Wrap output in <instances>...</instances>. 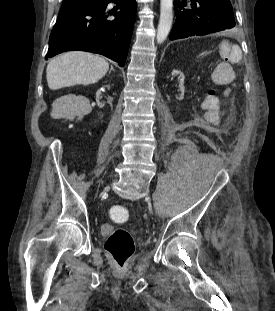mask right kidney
Segmentation results:
<instances>
[{
	"label": "right kidney",
	"instance_id": "obj_1",
	"mask_svg": "<svg viewBox=\"0 0 275 311\" xmlns=\"http://www.w3.org/2000/svg\"><path fill=\"white\" fill-rule=\"evenodd\" d=\"M111 86L106 84L104 87H98L96 93V100L95 103L98 105L99 108H106L107 107V97H114L115 92L114 90H110Z\"/></svg>",
	"mask_w": 275,
	"mask_h": 311
}]
</instances>
